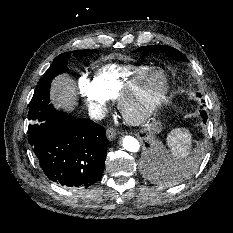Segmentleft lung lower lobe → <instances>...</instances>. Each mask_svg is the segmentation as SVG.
Masks as SVG:
<instances>
[{
    "label": "left lung lower lobe",
    "instance_id": "left-lung-lower-lobe-1",
    "mask_svg": "<svg viewBox=\"0 0 233 233\" xmlns=\"http://www.w3.org/2000/svg\"><path fill=\"white\" fill-rule=\"evenodd\" d=\"M201 115L203 117V121L206 122L207 114H206V112L204 110L201 111ZM146 145H148V144H146Z\"/></svg>",
    "mask_w": 233,
    "mask_h": 233
}]
</instances>
